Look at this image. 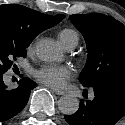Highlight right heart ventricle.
Wrapping results in <instances>:
<instances>
[{
  "instance_id": "1",
  "label": "right heart ventricle",
  "mask_w": 125,
  "mask_h": 125,
  "mask_svg": "<svg viewBox=\"0 0 125 125\" xmlns=\"http://www.w3.org/2000/svg\"><path fill=\"white\" fill-rule=\"evenodd\" d=\"M58 38L65 48L71 44L77 45L79 39L78 34L72 29L60 30L58 33Z\"/></svg>"
}]
</instances>
